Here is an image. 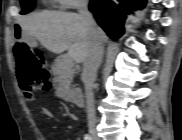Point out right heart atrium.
<instances>
[{"instance_id":"d8ad5b80","label":"right heart atrium","mask_w":182,"mask_h":140,"mask_svg":"<svg viewBox=\"0 0 182 140\" xmlns=\"http://www.w3.org/2000/svg\"><path fill=\"white\" fill-rule=\"evenodd\" d=\"M60 5L64 9H82L86 6V0H60Z\"/></svg>"}]
</instances>
